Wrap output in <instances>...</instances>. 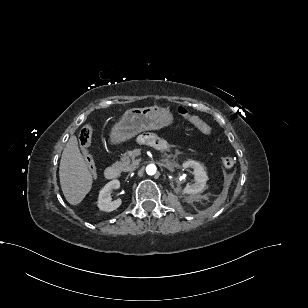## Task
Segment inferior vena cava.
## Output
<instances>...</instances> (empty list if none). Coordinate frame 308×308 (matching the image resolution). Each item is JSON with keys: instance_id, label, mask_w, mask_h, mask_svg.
<instances>
[{"instance_id": "obj_1", "label": "inferior vena cava", "mask_w": 308, "mask_h": 308, "mask_svg": "<svg viewBox=\"0 0 308 308\" xmlns=\"http://www.w3.org/2000/svg\"><path fill=\"white\" fill-rule=\"evenodd\" d=\"M129 174H134V168H129Z\"/></svg>"}]
</instances>
